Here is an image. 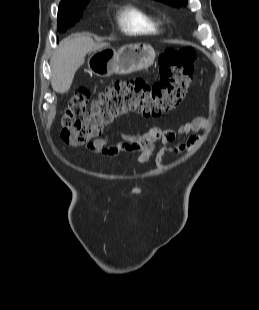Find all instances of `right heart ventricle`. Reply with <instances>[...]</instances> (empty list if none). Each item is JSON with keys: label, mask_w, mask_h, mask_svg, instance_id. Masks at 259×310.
Instances as JSON below:
<instances>
[{"label": "right heart ventricle", "mask_w": 259, "mask_h": 310, "mask_svg": "<svg viewBox=\"0 0 259 310\" xmlns=\"http://www.w3.org/2000/svg\"><path fill=\"white\" fill-rule=\"evenodd\" d=\"M117 20L120 28L131 35L156 34L161 31L160 21L136 5L124 6Z\"/></svg>", "instance_id": "e07e8e85"}]
</instances>
